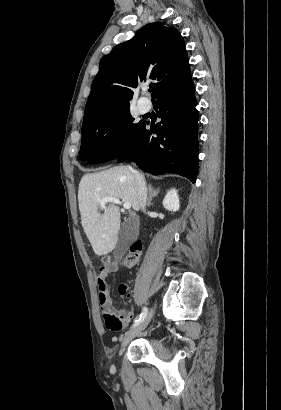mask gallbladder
Masks as SVG:
<instances>
[{
  "label": "gallbladder",
  "instance_id": "gallbladder-1",
  "mask_svg": "<svg viewBox=\"0 0 281 410\" xmlns=\"http://www.w3.org/2000/svg\"><path fill=\"white\" fill-rule=\"evenodd\" d=\"M135 237L136 231L133 224V218H128L122 226L118 235L117 243L115 246L117 258L121 259L124 256Z\"/></svg>",
  "mask_w": 281,
  "mask_h": 410
}]
</instances>
